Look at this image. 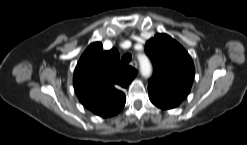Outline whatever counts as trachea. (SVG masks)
Instances as JSON below:
<instances>
[{
	"instance_id": "1",
	"label": "trachea",
	"mask_w": 247,
	"mask_h": 145,
	"mask_svg": "<svg viewBox=\"0 0 247 145\" xmlns=\"http://www.w3.org/2000/svg\"><path fill=\"white\" fill-rule=\"evenodd\" d=\"M132 55L130 53H126L122 56L121 60L123 63L127 64L131 61Z\"/></svg>"
}]
</instances>
